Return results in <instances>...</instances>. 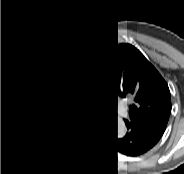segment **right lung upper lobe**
<instances>
[{"label": "right lung upper lobe", "mask_w": 184, "mask_h": 174, "mask_svg": "<svg viewBox=\"0 0 184 174\" xmlns=\"http://www.w3.org/2000/svg\"><path fill=\"white\" fill-rule=\"evenodd\" d=\"M67 70L68 60L64 56L45 57L21 94V122L35 141L59 133L81 117L72 103L75 90L67 80Z\"/></svg>", "instance_id": "cb5924a9"}]
</instances>
